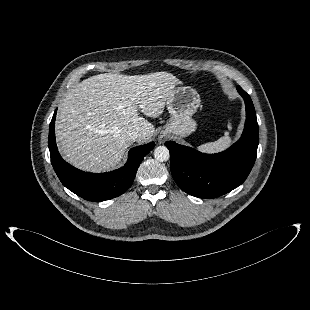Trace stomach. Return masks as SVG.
I'll list each match as a JSON object with an SVG mask.
<instances>
[{
	"instance_id": "0dacf381",
	"label": "stomach",
	"mask_w": 310,
	"mask_h": 310,
	"mask_svg": "<svg viewBox=\"0 0 310 310\" xmlns=\"http://www.w3.org/2000/svg\"><path fill=\"white\" fill-rule=\"evenodd\" d=\"M170 119L161 131L162 135L186 137L196 130L197 124L192 118L201 105L198 92L190 86L174 88L166 101Z\"/></svg>"
}]
</instances>
